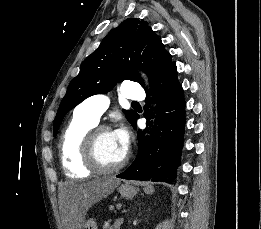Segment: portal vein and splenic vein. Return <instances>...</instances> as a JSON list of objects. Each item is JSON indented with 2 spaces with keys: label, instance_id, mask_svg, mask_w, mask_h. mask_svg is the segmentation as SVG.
I'll return each mask as SVG.
<instances>
[{
  "label": "portal vein and splenic vein",
  "instance_id": "obj_1",
  "mask_svg": "<svg viewBox=\"0 0 261 229\" xmlns=\"http://www.w3.org/2000/svg\"><path fill=\"white\" fill-rule=\"evenodd\" d=\"M124 222H125V219H124V218H119V219L116 221L115 227H118V225H123Z\"/></svg>",
  "mask_w": 261,
  "mask_h": 229
}]
</instances>
